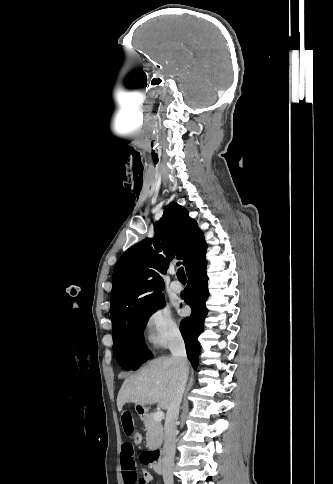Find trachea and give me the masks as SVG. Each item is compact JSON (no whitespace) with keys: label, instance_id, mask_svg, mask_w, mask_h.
<instances>
[{"label":"trachea","instance_id":"1","mask_svg":"<svg viewBox=\"0 0 333 484\" xmlns=\"http://www.w3.org/2000/svg\"><path fill=\"white\" fill-rule=\"evenodd\" d=\"M177 277L179 280H186V275H185V272H184V269L183 267H180L177 271Z\"/></svg>","mask_w":333,"mask_h":484}]
</instances>
